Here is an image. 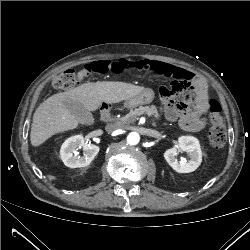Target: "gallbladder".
Instances as JSON below:
<instances>
[{
    "label": "gallbladder",
    "instance_id": "1",
    "mask_svg": "<svg viewBox=\"0 0 250 250\" xmlns=\"http://www.w3.org/2000/svg\"><path fill=\"white\" fill-rule=\"evenodd\" d=\"M65 107L68 111L80 122L83 124L90 123L92 121V114L89 112L81 103L66 99L64 101Z\"/></svg>",
    "mask_w": 250,
    "mask_h": 250
}]
</instances>
